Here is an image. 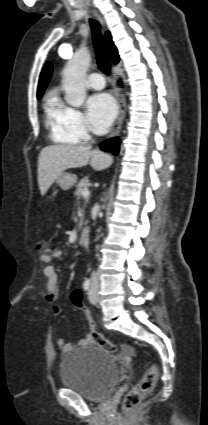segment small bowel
<instances>
[{
  "label": "small bowel",
  "instance_id": "1",
  "mask_svg": "<svg viewBox=\"0 0 208 425\" xmlns=\"http://www.w3.org/2000/svg\"><path fill=\"white\" fill-rule=\"evenodd\" d=\"M62 256V251L56 250L51 255H41L40 261L44 264L43 274L46 277V300L51 304L52 312L55 315H59L61 312L60 306L55 304L56 300L60 294V284H59V275L56 268L51 264L53 258H59ZM57 346L63 351L68 352L71 350L72 346L65 342V340L58 336L55 340ZM92 341L90 336L82 339L80 341L81 345H88ZM124 349H127L126 346H123Z\"/></svg>",
  "mask_w": 208,
  "mask_h": 425
}]
</instances>
